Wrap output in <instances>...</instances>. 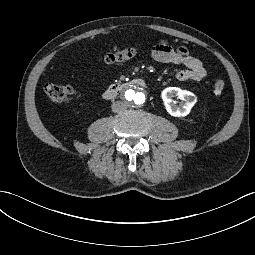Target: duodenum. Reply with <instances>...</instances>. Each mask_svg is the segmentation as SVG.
<instances>
[{"mask_svg": "<svg viewBox=\"0 0 255 255\" xmlns=\"http://www.w3.org/2000/svg\"><path fill=\"white\" fill-rule=\"evenodd\" d=\"M147 86L145 80L141 78H135L129 81L115 83L110 85L104 92L103 96L105 99H113L115 98L120 92L125 91L127 89L133 87H142L145 88Z\"/></svg>", "mask_w": 255, "mask_h": 255, "instance_id": "obj_1", "label": "duodenum"}]
</instances>
